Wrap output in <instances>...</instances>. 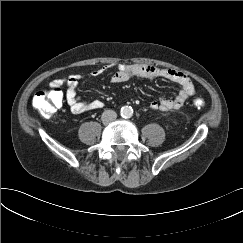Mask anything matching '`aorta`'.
<instances>
[{"label":"aorta","mask_w":243,"mask_h":243,"mask_svg":"<svg viewBox=\"0 0 243 243\" xmlns=\"http://www.w3.org/2000/svg\"><path fill=\"white\" fill-rule=\"evenodd\" d=\"M120 115L123 118H130L133 115V109H132V107H130V106H123L120 109Z\"/></svg>","instance_id":"obj_1"}]
</instances>
